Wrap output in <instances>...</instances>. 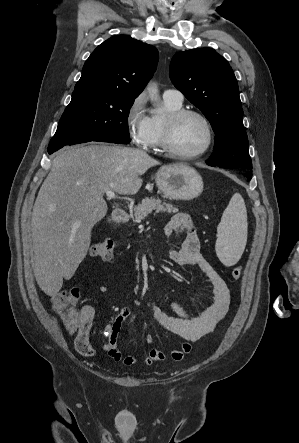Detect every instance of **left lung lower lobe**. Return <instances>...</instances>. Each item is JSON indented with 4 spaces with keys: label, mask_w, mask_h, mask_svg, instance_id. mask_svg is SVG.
<instances>
[{
    "label": "left lung lower lobe",
    "mask_w": 299,
    "mask_h": 443,
    "mask_svg": "<svg viewBox=\"0 0 299 443\" xmlns=\"http://www.w3.org/2000/svg\"><path fill=\"white\" fill-rule=\"evenodd\" d=\"M207 164L210 166H214V165L210 164L209 162H207ZM245 176L248 178V180H250L252 177V174L249 172V173L245 174Z\"/></svg>",
    "instance_id": "1"
}]
</instances>
